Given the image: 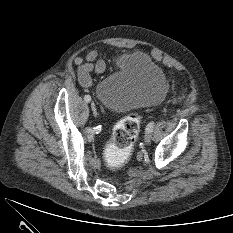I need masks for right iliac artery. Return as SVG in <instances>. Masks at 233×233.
<instances>
[{"instance_id": "obj_1", "label": "right iliac artery", "mask_w": 233, "mask_h": 233, "mask_svg": "<svg viewBox=\"0 0 233 233\" xmlns=\"http://www.w3.org/2000/svg\"><path fill=\"white\" fill-rule=\"evenodd\" d=\"M84 100H85L86 102H90V101H91L90 95H85V96H84Z\"/></svg>"}]
</instances>
